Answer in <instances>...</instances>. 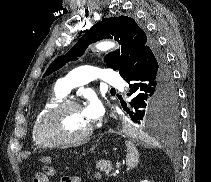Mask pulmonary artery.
I'll return each instance as SVG.
<instances>
[{"mask_svg":"<svg viewBox=\"0 0 211 182\" xmlns=\"http://www.w3.org/2000/svg\"><path fill=\"white\" fill-rule=\"evenodd\" d=\"M95 79H102L113 86H119L122 83L120 75L111 69L84 65L74 69L61 79L56 85V90L63 95H67L73 88L87 84Z\"/></svg>","mask_w":211,"mask_h":182,"instance_id":"pulmonary-artery-1","label":"pulmonary artery"}]
</instances>
